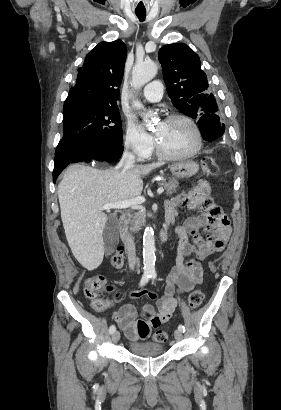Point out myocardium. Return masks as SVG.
<instances>
[{
	"mask_svg": "<svg viewBox=\"0 0 281 410\" xmlns=\"http://www.w3.org/2000/svg\"><path fill=\"white\" fill-rule=\"evenodd\" d=\"M174 120H182L186 123H188L194 130L195 136H196V145L194 149H192L190 152L184 153V154H171L167 151H165L161 145L159 144L158 140L155 138L154 139V146L156 153L163 159L166 160H182V159H188L193 156H195L202 148L203 145V136L200 127L198 124L192 119L190 116L182 114V113H173L168 115L164 121H174Z\"/></svg>",
	"mask_w": 281,
	"mask_h": 410,
	"instance_id": "1",
	"label": "myocardium"
}]
</instances>
